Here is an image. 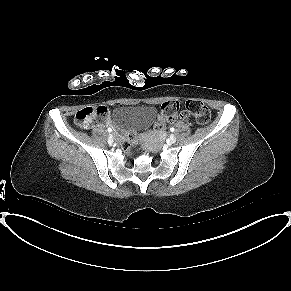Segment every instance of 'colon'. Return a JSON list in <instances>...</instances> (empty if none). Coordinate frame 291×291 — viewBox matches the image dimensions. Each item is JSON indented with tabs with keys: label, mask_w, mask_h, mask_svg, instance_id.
<instances>
[{
	"label": "colon",
	"mask_w": 291,
	"mask_h": 291,
	"mask_svg": "<svg viewBox=\"0 0 291 291\" xmlns=\"http://www.w3.org/2000/svg\"><path fill=\"white\" fill-rule=\"evenodd\" d=\"M186 110L193 115L200 124H207L210 121L208 107L200 101L189 100L185 103ZM180 109L178 101H168L162 105L161 116L155 123V130L161 132L166 124L177 117ZM110 112L105 106H90L79 110L75 115V122L79 127H88L92 124H104L109 120ZM135 140L134 134H129L124 143V149L128 150Z\"/></svg>",
	"instance_id": "5ec220e1"
}]
</instances>
